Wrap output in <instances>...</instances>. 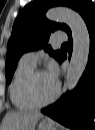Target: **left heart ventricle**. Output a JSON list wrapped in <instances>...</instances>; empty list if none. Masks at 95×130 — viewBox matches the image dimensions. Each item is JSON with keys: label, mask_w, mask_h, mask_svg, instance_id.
<instances>
[{"label": "left heart ventricle", "mask_w": 95, "mask_h": 130, "mask_svg": "<svg viewBox=\"0 0 95 130\" xmlns=\"http://www.w3.org/2000/svg\"><path fill=\"white\" fill-rule=\"evenodd\" d=\"M55 91L56 83L52 82L44 72L36 75L34 93L39 100L45 101L51 98L55 94Z\"/></svg>", "instance_id": "b2bd125f"}]
</instances>
